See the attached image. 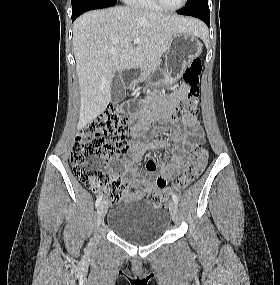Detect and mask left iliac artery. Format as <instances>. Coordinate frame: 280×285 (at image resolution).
<instances>
[{
	"label": "left iliac artery",
	"mask_w": 280,
	"mask_h": 285,
	"mask_svg": "<svg viewBox=\"0 0 280 285\" xmlns=\"http://www.w3.org/2000/svg\"><path fill=\"white\" fill-rule=\"evenodd\" d=\"M172 199L176 204H178V197L175 193L172 194Z\"/></svg>",
	"instance_id": "obj_1"
}]
</instances>
